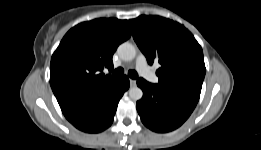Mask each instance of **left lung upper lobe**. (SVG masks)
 <instances>
[{
  "label": "left lung upper lobe",
  "instance_id": "5c2ea615",
  "mask_svg": "<svg viewBox=\"0 0 261 150\" xmlns=\"http://www.w3.org/2000/svg\"><path fill=\"white\" fill-rule=\"evenodd\" d=\"M129 22L133 37L149 64L158 61V85L182 86L201 92L205 76L203 51L181 24L159 16H139Z\"/></svg>",
  "mask_w": 261,
  "mask_h": 150
}]
</instances>
